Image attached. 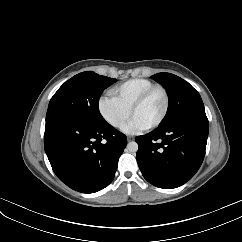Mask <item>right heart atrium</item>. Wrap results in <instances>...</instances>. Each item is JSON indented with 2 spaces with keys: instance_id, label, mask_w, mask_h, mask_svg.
I'll return each mask as SVG.
<instances>
[{
  "instance_id": "right-heart-atrium-1",
  "label": "right heart atrium",
  "mask_w": 242,
  "mask_h": 242,
  "mask_svg": "<svg viewBox=\"0 0 242 242\" xmlns=\"http://www.w3.org/2000/svg\"><path fill=\"white\" fill-rule=\"evenodd\" d=\"M102 118L113 128L120 129L130 117V110L119 104L113 97L104 96L98 101Z\"/></svg>"
}]
</instances>
